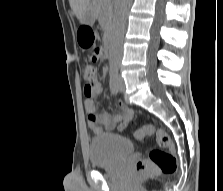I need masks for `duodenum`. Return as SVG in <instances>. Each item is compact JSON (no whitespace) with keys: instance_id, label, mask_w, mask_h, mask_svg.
<instances>
[{"instance_id":"obj_1","label":"duodenum","mask_w":223,"mask_h":191,"mask_svg":"<svg viewBox=\"0 0 223 191\" xmlns=\"http://www.w3.org/2000/svg\"><path fill=\"white\" fill-rule=\"evenodd\" d=\"M104 51L106 54H109L111 51V39L109 33L106 34L104 39Z\"/></svg>"}]
</instances>
